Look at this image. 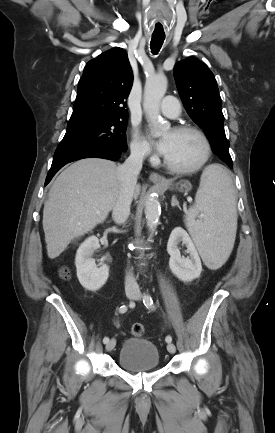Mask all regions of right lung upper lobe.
Returning <instances> with one entry per match:
<instances>
[{"mask_svg": "<svg viewBox=\"0 0 275 433\" xmlns=\"http://www.w3.org/2000/svg\"><path fill=\"white\" fill-rule=\"evenodd\" d=\"M132 83V69L122 48L115 47L100 54L85 66L70 119L127 117L125 100Z\"/></svg>", "mask_w": 275, "mask_h": 433, "instance_id": "1", "label": "right lung upper lobe"}]
</instances>
